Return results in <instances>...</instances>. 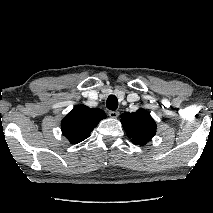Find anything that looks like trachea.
Instances as JSON below:
<instances>
[{
    "label": "trachea",
    "mask_w": 213,
    "mask_h": 213,
    "mask_svg": "<svg viewBox=\"0 0 213 213\" xmlns=\"http://www.w3.org/2000/svg\"><path fill=\"white\" fill-rule=\"evenodd\" d=\"M106 106L109 110L115 111L118 108V99L114 95L107 98Z\"/></svg>",
    "instance_id": "1"
}]
</instances>
